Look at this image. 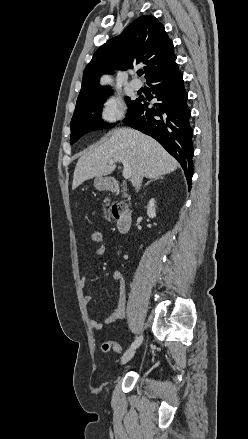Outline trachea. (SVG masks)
<instances>
[{
	"label": "trachea",
	"mask_w": 248,
	"mask_h": 439,
	"mask_svg": "<svg viewBox=\"0 0 248 439\" xmlns=\"http://www.w3.org/2000/svg\"><path fill=\"white\" fill-rule=\"evenodd\" d=\"M137 74H138L139 76L143 75V70H139V71L137 72Z\"/></svg>",
	"instance_id": "3493384b"
}]
</instances>
